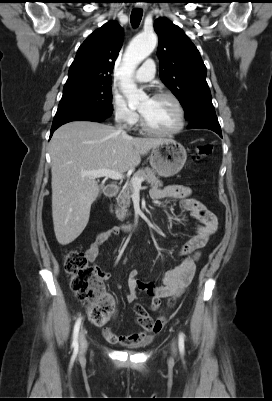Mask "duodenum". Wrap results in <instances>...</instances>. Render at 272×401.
Masks as SVG:
<instances>
[{
  "instance_id": "410a0bca",
  "label": "duodenum",
  "mask_w": 272,
  "mask_h": 401,
  "mask_svg": "<svg viewBox=\"0 0 272 401\" xmlns=\"http://www.w3.org/2000/svg\"><path fill=\"white\" fill-rule=\"evenodd\" d=\"M118 192H119V186L116 184H109L105 187V194L110 198L116 196L118 194ZM137 227H138L137 225L129 224V225L123 226V229L127 230V231H131V230L136 229Z\"/></svg>"
}]
</instances>
